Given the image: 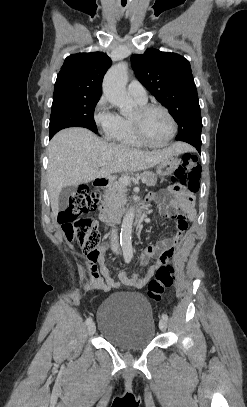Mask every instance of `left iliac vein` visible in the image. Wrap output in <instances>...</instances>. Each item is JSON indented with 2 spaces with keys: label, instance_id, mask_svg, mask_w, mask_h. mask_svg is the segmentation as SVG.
Segmentation results:
<instances>
[{
  "label": "left iliac vein",
  "instance_id": "left-iliac-vein-1",
  "mask_svg": "<svg viewBox=\"0 0 247 407\" xmlns=\"http://www.w3.org/2000/svg\"><path fill=\"white\" fill-rule=\"evenodd\" d=\"M159 328L161 331H165L167 329V321H165L164 319H161L159 321Z\"/></svg>",
  "mask_w": 247,
  "mask_h": 407
}]
</instances>
